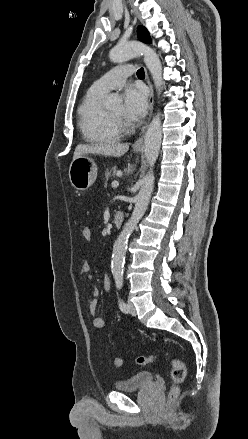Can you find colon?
<instances>
[{
    "label": "colon",
    "mask_w": 248,
    "mask_h": 439,
    "mask_svg": "<svg viewBox=\"0 0 248 439\" xmlns=\"http://www.w3.org/2000/svg\"><path fill=\"white\" fill-rule=\"evenodd\" d=\"M82 235L85 240L90 241L92 238V232L91 229L88 226H83L82 228ZM158 358V355L152 354V355H141L138 356L135 360L137 365H148L156 361ZM113 365L116 367H121L123 365V360L121 358H115L113 360ZM187 374L186 367L184 363L179 359H174L171 362V381H172V387L169 392V398L171 400L176 399V397L179 394L180 391V385L185 381Z\"/></svg>",
    "instance_id": "colon-1"
}]
</instances>
